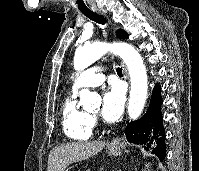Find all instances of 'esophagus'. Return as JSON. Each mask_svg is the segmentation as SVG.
<instances>
[{
  "label": "esophagus",
  "instance_id": "34e87169",
  "mask_svg": "<svg viewBox=\"0 0 199 171\" xmlns=\"http://www.w3.org/2000/svg\"><path fill=\"white\" fill-rule=\"evenodd\" d=\"M100 14L104 15V16L107 17V19H108V16L106 15V12H105V11H101ZM108 20H109V19H108ZM110 23H111V21H110ZM122 66H123L124 76H125L126 79H128V71H127V69H126V67H125L124 64H122ZM110 144H111L112 146H118V145L121 144V140H120L119 138H116V139L112 140V142H111Z\"/></svg>",
  "mask_w": 199,
  "mask_h": 171
}]
</instances>
